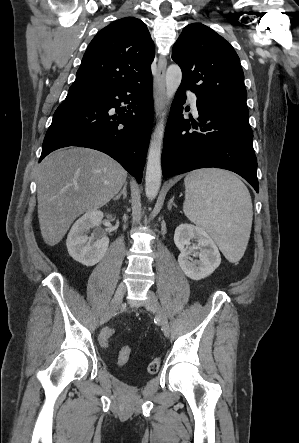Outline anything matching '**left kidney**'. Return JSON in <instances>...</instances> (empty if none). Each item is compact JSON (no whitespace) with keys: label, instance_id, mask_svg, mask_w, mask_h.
Masks as SVG:
<instances>
[{"label":"left kidney","instance_id":"1","mask_svg":"<svg viewBox=\"0 0 299 443\" xmlns=\"http://www.w3.org/2000/svg\"><path fill=\"white\" fill-rule=\"evenodd\" d=\"M193 240L197 243L190 247ZM174 242L180 250L178 263L185 275L193 280L209 276L221 263L216 244L207 232L198 226L179 225L175 230ZM192 253L194 256L197 255L199 260L193 261L190 257Z\"/></svg>","mask_w":299,"mask_h":443}]
</instances>
